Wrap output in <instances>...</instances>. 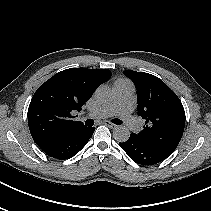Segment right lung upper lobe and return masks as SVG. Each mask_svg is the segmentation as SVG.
<instances>
[{
	"mask_svg": "<svg viewBox=\"0 0 211 211\" xmlns=\"http://www.w3.org/2000/svg\"><path fill=\"white\" fill-rule=\"evenodd\" d=\"M110 77L108 69L70 68L43 83L33 95L27 114L35 143L43 149L64 134L84 128L81 121L72 119V113L80 111Z\"/></svg>",
	"mask_w": 211,
	"mask_h": 211,
	"instance_id": "obj_1",
	"label": "right lung upper lobe"
}]
</instances>
